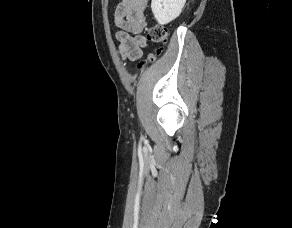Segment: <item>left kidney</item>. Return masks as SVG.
Returning a JSON list of instances; mask_svg holds the SVG:
<instances>
[{
  "label": "left kidney",
  "instance_id": "obj_1",
  "mask_svg": "<svg viewBox=\"0 0 292 228\" xmlns=\"http://www.w3.org/2000/svg\"><path fill=\"white\" fill-rule=\"evenodd\" d=\"M185 3L186 0H152L151 9L157 22L165 25L180 15Z\"/></svg>",
  "mask_w": 292,
  "mask_h": 228
}]
</instances>
